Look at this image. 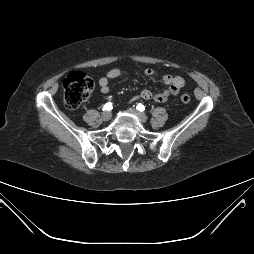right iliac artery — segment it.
Returning a JSON list of instances; mask_svg holds the SVG:
<instances>
[{
    "label": "right iliac artery",
    "mask_w": 254,
    "mask_h": 254,
    "mask_svg": "<svg viewBox=\"0 0 254 254\" xmlns=\"http://www.w3.org/2000/svg\"><path fill=\"white\" fill-rule=\"evenodd\" d=\"M111 109H112V103H106V104L104 105V107H103L102 110H103V111H104V110H108V111H109V110H111Z\"/></svg>",
    "instance_id": "1"
}]
</instances>
